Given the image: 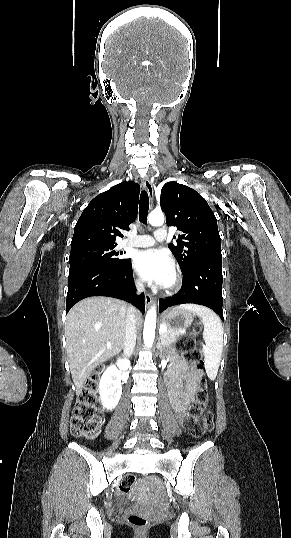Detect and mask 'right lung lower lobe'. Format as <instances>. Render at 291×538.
Returning a JSON list of instances; mask_svg holds the SVG:
<instances>
[{"mask_svg": "<svg viewBox=\"0 0 291 538\" xmlns=\"http://www.w3.org/2000/svg\"><path fill=\"white\" fill-rule=\"evenodd\" d=\"M91 296L125 300L145 312L144 294L136 295L130 259L119 266L81 265L70 268L66 314L78 301Z\"/></svg>", "mask_w": 291, "mask_h": 538, "instance_id": "1", "label": "right lung lower lobe"}]
</instances>
